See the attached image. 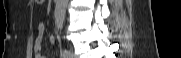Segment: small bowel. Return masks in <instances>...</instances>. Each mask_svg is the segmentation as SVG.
<instances>
[{
	"label": "small bowel",
	"mask_w": 181,
	"mask_h": 58,
	"mask_svg": "<svg viewBox=\"0 0 181 58\" xmlns=\"http://www.w3.org/2000/svg\"><path fill=\"white\" fill-rule=\"evenodd\" d=\"M44 31H45V27L44 24L42 22H40L37 26L36 29V34H35V38H34V54H35V58H44L42 55V43H43V38H44ZM49 42L51 44H53L55 42V37L54 36H50L49 37Z\"/></svg>",
	"instance_id": "small-bowel-1"
}]
</instances>
